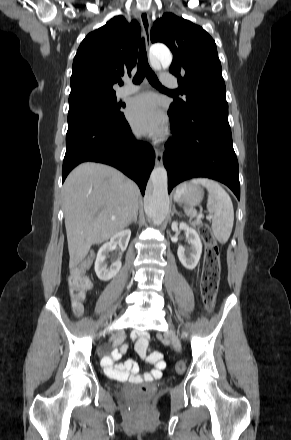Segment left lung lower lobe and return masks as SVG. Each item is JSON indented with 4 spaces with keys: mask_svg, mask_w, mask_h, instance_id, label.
<instances>
[{
    "mask_svg": "<svg viewBox=\"0 0 291 440\" xmlns=\"http://www.w3.org/2000/svg\"><path fill=\"white\" fill-rule=\"evenodd\" d=\"M169 117L173 137L163 155L168 192L189 178L208 177L226 184L240 199L228 110L197 108L183 117L169 111Z\"/></svg>",
    "mask_w": 291,
    "mask_h": 440,
    "instance_id": "obj_1",
    "label": "left lung lower lobe"
}]
</instances>
